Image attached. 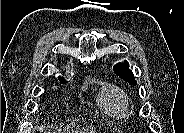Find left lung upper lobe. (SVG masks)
Instances as JSON below:
<instances>
[{
	"label": "left lung upper lobe",
	"instance_id": "1",
	"mask_svg": "<svg viewBox=\"0 0 184 133\" xmlns=\"http://www.w3.org/2000/svg\"><path fill=\"white\" fill-rule=\"evenodd\" d=\"M128 68L129 63L127 61H124V63H118L114 66V72L124 81L132 85L137 84L132 71Z\"/></svg>",
	"mask_w": 184,
	"mask_h": 133
}]
</instances>
